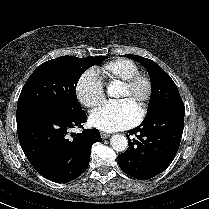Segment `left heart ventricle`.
Masks as SVG:
<instances>
[{
	"mask_svg": "<svg viewBox=\"0 0 209 209\" xmlns=\"http://www.w3.org/2000/svg\"><path fill=\"white\" fill-rule=\"evenodd\" d=\"M146 93V86L143 82H139L133 90L127 91L125 89L119 88L116 102H129L133 108L139 112L140 108L142 107L144 97Z\"/></svg>",
	"mask_w": 209,
	"mask_h": 209,
	"instance_id": "1",
	"label": "left heart ventricle"
}]
</instances>
